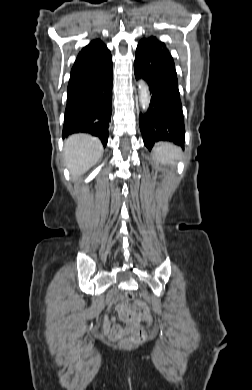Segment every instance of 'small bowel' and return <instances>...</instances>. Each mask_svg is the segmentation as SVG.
Listing matches in <instances>:
<instances>
[{
    "label": "small bowel",
    "instance_id": "c3829d8e",
    "mask_svg": "<svg viewBox=\"0 0 252 390\" xmlns=\"http://www.w3.org/2000/svg\"><path fill=\"white\" fill-rule=\"evenodd\" d=\"M112 306L115 307L118 317L123 325L116 323V319L113 316H107L105 319V331L112 335L121 336L132 333L136 330L139 322L144 319L151 321L149 310L143 303H139L143 312L137 313L131 311L129 306L125 304L124 299L121 296H114L111 301Z\"/></svg>",
    "mask_w": 252,
    "mask_h": 390
}]
</instances>
